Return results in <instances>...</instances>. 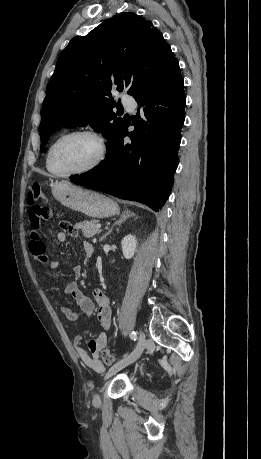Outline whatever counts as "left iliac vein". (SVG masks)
<instances>
[{"label":"left iliac vein","mask_w":261,"mask_h":459,"mask_svg":"<svg viewBox=\"0 0 261 459\" xmlns=\"http://www.w3.org/2000/svg\"><path fill=\"white\" fill-rule=\"evenodd\" d=\"M145 346H146V337H145V334L142 331H140L138 343L135 349L129 355L125 356L120 361H118L116 364H114L106 373L105 379L111 377L112 375L120 371L121 369L135 362L141 356L142 352L145 349ZM100 403H101L100 397L96 395L94 397V404L98 406L100 405Z\"/></svg>","instance_id":"1"}]
</instances>
